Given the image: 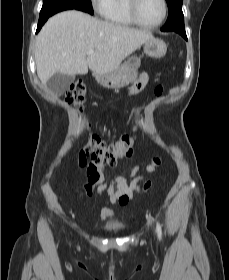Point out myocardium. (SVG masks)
<instances>
[{
    "label": "myocardium",
    "instance_id": "f54148a6",
    "mask_svg": "<svg viewBox=\"0 0 229 280\" xmlns=\"http://www.w3.org/2000/svg\"><path fill=\"white\" fill-rule=\"evenodd\" d=\"M127 2H128L127 8H128L130 17L132 18L134 23L138 26H141L144 28H157L160 25H162L164 23V21L166 20V17L168 14V4H167L166 0H161L162 6H163V13H162L160 20L154 24L145 23L140 19L139 15H138V5H139L140 0H127Z\"/></svg>",
    "mask_w": 229,
    "mask_h": 280
}]
</instances>
